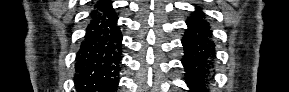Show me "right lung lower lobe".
Here are the masks:
<instances>
[{
  "instance_id": "98d812e1",
  "label": "right lung lower lobe",
  "mask_w": 289,
  "mask_h": 92,
  "mask_svg": "<svg viewBox=\"0 0 289 92\" xmlns=\"http://www.w3.org/2000/svg\"><path fill=\"white\" fill-rule=\"evenodd\" d=\"M111 1L92 11L75 63L78 92H115L122 58V35Z\"/></svg>"
}]
</instances>
